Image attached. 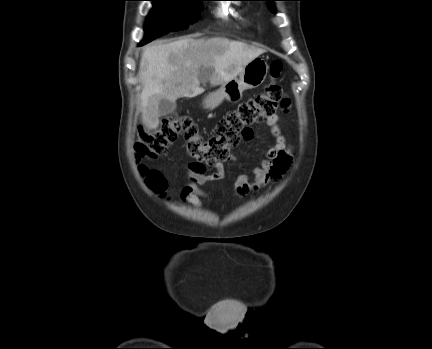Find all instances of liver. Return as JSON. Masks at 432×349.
<instances>
[{"instance_id": "liver-1", "label": "liver", "mask_w": 432, "mask_h": 349, "mask_svg": "<svg viewBox=\"0 0 432 349\" xmlns=\"http://www.w3.org/2000/svg\"><path fill=\"white\" fill-rule=\"evenodd\" d=\"M264 50L225 37L184 38L147 46L142 53L139 74L142 122L148 129L159 125V101L195 97L205 90L201 70L210 69V83L222 85L237 77L244 67Z\"/></svg>"}]
</instances>
